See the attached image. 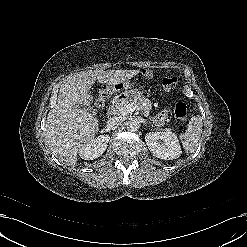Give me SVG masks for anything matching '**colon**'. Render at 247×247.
<instances>
[{
    "mask_svg": "<svg viewBox=\"0 0 247 247\" xmlns=\"http://www.w3.org/2000/svg\"><path fill=\"white\" fill-rule=\"evenodd\" d=\"M162 87L164 91L171 93L179 88V81L176 77H165L162 79ZM174 115L180 120H187L188 111L187 106L183 102H178L173 108Z\"/></svg>",
    "mask_w": 247,
    "mask_h": 247,
    "instance_id": "colon-1",
    "label": "colon"
}]
</instances>
